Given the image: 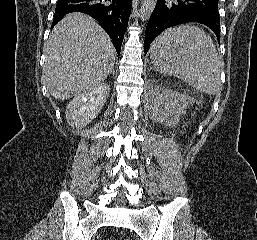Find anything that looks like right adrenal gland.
<instances>
[{
    "label": "right adrenal gland",
    "mask_w": 257,
    "mask_h": 240,
    "mask_svg": "<svg viewBox=\"0 0 257 240\" xmlns=\"http://www.w3.org/2000/svg\"><path fill=\"white\" fill-rule=\"evenodd\" d=\"M111 73L114 75V74H115V70H114V69H112V70H111Z\"/></svg>",
    "instance_id": "1"
}]
</instances>
